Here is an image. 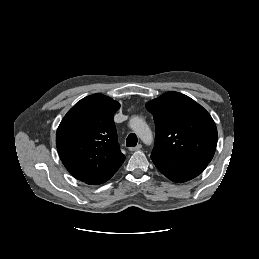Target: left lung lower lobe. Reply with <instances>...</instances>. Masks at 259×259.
<instances>
[{
	"label": "left lung lower lobe",
	"mask_w": 259,
	"mask_h": 259,
	"mask_svg": "<svg viewBox=\"0 0 259 259\" xmlns=\"http://www.w3.org/2000/svg\"><path fill=\"white\" fill-rule=\"evenodd\" d=\"M151 158L157 169L174 182H186L198 176L209 164L202 160H183L152 151Z\"/></svg>",
	"instance_id": "1"
}]
</instances>
